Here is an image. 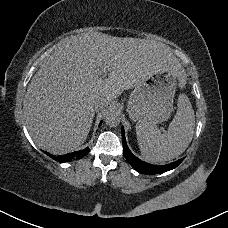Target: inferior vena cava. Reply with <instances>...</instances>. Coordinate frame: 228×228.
<instances>
[{"instance_id": "1", "label": "inferior vena cava", "mask_w": 228, "mask_h": 228, "mask_svg": "<svg viewBox=\"0 0 228 228\" xmlns=\"http://www.w3.org/2000/svg\"><path fill=\"white\" fill-rule=\"evenodd\" d=\"M106 106V103L100 98H94L92 100V107L95 111L102 110Z\"/></svg>"}]
</instances>
